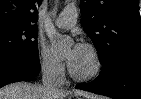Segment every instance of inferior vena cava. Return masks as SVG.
Returning <instances> with one entry per match:
<instances>
[{
    "label": "inferior vena cava",
    "mask_w": 141,
    "mask_h": 99,
    "mask_svg": "<svg viewBox=\"0 0 141 99\" xmlns=\"http://www.w3.org/2000/svg\"><path fill=\"white\" fill-rule=\"evenodd\" d=\"M54 68L50 65H44L42 68V85L46 89H56V84L53 80Z\"/></svg>",
    "instance_id": "1"
}]
</instances>
